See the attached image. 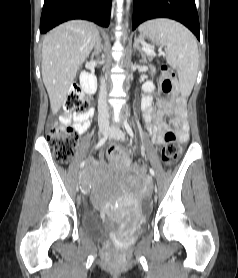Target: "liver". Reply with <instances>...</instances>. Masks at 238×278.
I'll return each instance as SVG.
<instances>
[{
  "instance_id": "obj_1",
  "label": "liver",
  "mask_w": 238,
  "mask_h": 278,
  "mask_svg": "<svg viewBox=\"0 0 238 278\" xmlns=\"http://www.w3.org/2000/svg\"><path fill=\"white\" fill-rule=\"evenodd\" d=\"M98 39V28L83 20L63 23L45 36L41 72L53 114L65 102L77 71Z\"/></svg>"
}]
</instances>
